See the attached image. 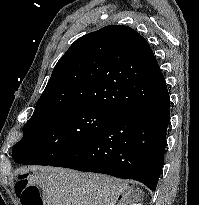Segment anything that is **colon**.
Listing matches in <instances>:
<instances>
[{
	"instance_id": "1",
	"label": "colon",
	"mask_w": 199,
	"mask_h": 205,
	"mask_svg": "<svg viewBox=\"0 0 199 205\" xmlns=\"http://www.w3.org/2000/svg\"><path fill=\"white\" fill-rule=\"evenodd\" d=\"M27 174L20 175L15 182V192L22 205H43L37 188L29 183Z\"/></svg>"
}]
</instances>
